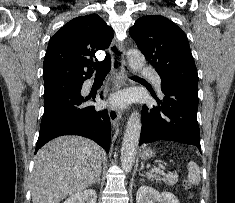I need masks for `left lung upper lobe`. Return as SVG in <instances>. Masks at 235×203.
I'll return each instance as SVG.
<instances>
[{
    "label": "left lung upper lobe",
    "mask_w": 235,
    "mask_h": 203,
    "mask_svg": "<svg viewBox=\"0 0 235 203\" xmlns=\"http://www.w3.org/2000/svg\"><path fill=\"white\" fill-rule=\"evenodd\" d=\"M130 36L152 64L163 83L198 87V74L185 33L160 15L139 18Z\"/></svg>",
    "instance_id": "obj_1"
}]
</instances>
